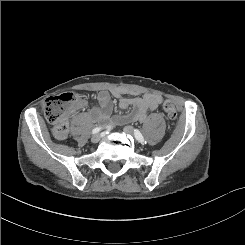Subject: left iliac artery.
I'll return each mask as SVG.
<instances>
[{"label": "left iliac artery", "mask_w": 245, "mask_h": 245, "mask_svg": "<svg viewBox=\"0 0 245 245\" xmlns=\"http://www.w3.org/2000/svg\"><path fill=\"white\" fill-rule=\"evenodd\" d=\"M135 138L142 144H146L144 137L142 136L141 132L138 129L134 130Z\"/></svg>", "instance_id": "1"}]
</instances>
